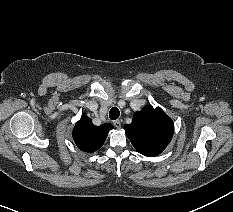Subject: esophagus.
Wrapping results in <instances>:
<instances>
[{
    "label": "esophagus",
    "instance_id": "34e87169",
    "mask_svg": "<svg viewBox=\"0 0 233 212\" xmlns=\"http://www.w3.org/2000/svg\"><path fill=\"white\" fill-rule=\"evenodd\" d=\"M113 124H114V126L116 127V128H121V121L120 120H115L114 122H113Z\"/></svg>",
    "mask_w": 233,
    "mask_h": 212
}]
</instances>
